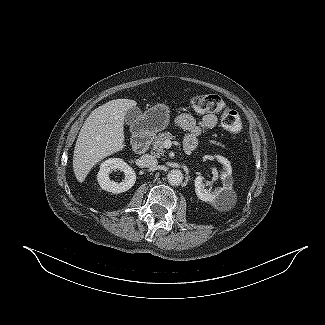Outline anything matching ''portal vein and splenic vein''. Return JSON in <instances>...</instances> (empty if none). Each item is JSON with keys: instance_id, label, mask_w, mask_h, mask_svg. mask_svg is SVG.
Here are the masks:
<instances>
[{"instance_id": "1", "label": "portal vein and splenic vein", "mask_w": 325, "mask_h": 325, "mask_svg": "<svg viewBox=\"0 0 325 325\" xmlns=\"http://www.w3.org/2000/svg\"><path fill=\"white\" fill-rule=\"evenodd\" d=\"M164 148L169 149L172 146V142L168 139L163 143Z\"/></svg>"}]
</instances>
